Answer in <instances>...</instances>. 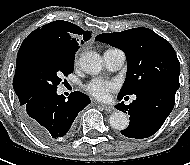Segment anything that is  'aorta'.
Returning <instances> with one entry per match:
<instances>
[{
    "instance_id": "1",
    "label": "aorta",
    "mask_w": 190,
    "mask_h": 165,
    "mask_svg": "<svg viewBox=\"0 0 190 165\" xmlns=\"http://www.w3.org/2000/svg\"><path fill=\"white\" fill-rule=\"evenodd\" d=\"M80 67L87 74H98L103 67L101 56L93 51L83 53L80 57ZM109 122L110 126L116 130H124L129 125L128 116L121 111L111 114Z\"/></svg>"
}]
</instances>
